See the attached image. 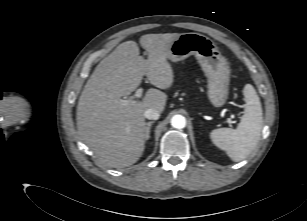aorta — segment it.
Segmentation results:
<instances>
[{
  "mask_svg": "<svg viewBox=\"0 0 307 221\" xmlns=\"http://www.w3.org/2000/svg\"><path fill=\"white\" fill-rule=\"evenodd\" d=\"M171 125L176 129H182L186 126V119L182 115H174L171 118Z\"/></svg>",
  "mask_w": 307,
  "mask_h": 221,
  "instance_id": "762f6f07",
  "label": "aorta"
}]
</instances>
